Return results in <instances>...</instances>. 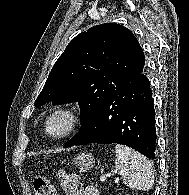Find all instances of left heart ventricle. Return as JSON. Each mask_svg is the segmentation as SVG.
<instances>
[{
    "instance_id": "left-heart-ventricle-1",
    "label": "left heart ventricle",
    "mask_w": 189,
    "mask_h": 195,
    "mask_svg": "<svg viewBox=\"0 0 189 195\" xmlns=\"http://www.w3.org/2000/svg\"><path fill=\"white\" fill-rule=\"evenodd\" d=\"M70 118L65 113H60L52 118V120L49 123V131L53 135H60L62 134L69 125Z\"/></svg>"
}]
</instances>
